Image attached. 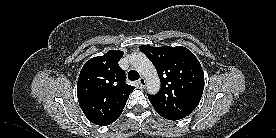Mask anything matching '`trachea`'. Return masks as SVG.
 <instances>
[{
  "instance_id": "1",
  "label": "trachea",
  "mask_w": 276,
  "mask_h": 138,
  "mask_svg": "<svg viewBox=\"0 0 276 138\" xmlns=\"http://www.w3.org/2000/svg\"><path fill=\"white\" fill-rule=\"evenodd\" d=\"M128 78L131 81H135V80H138L140 78V75L137 71L131 70L128 73Z\"/></svg>"
}]
</instances>
